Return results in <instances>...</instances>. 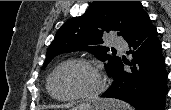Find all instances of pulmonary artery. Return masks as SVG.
<instances>
[{
  "instance_id": "obj_1",
  "label": "pulmonary artery",
  "mask_w": 171,
  "mask_h": 110,
  "mask_svg": "<svg viewBox=\"0 0 171 110\" xmlns=\"http://www.w3.org/2000/svg\"><path fill=\"white\" fill-rule=\"evenodd\" d=\"M113 45L120 49V50H126L127 49V43L124 39L122 38H116L114 41H113Z\"/></svg>"
}]
</instances>
